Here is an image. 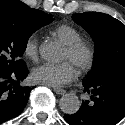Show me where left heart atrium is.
Masks as SVG:
<instances>
[{
  "instance_id": "left-heart-atrium-1",
  "label": "left heart atrium",
  "mask_w": 125,
  "mask_h": 125,
  "mask_svg": "<svg viewBox=\"0 0 125 125\" xmlns=\"http://www.w3.org/2000/svg\"><path fill=\"white\" fill-rule=\"evenodd\" d=\"M77 71L73 63L66 60L62 63H44L32 71L35 82L53 87H60L74 80Z\"/></svg>"
}]
</instances>
